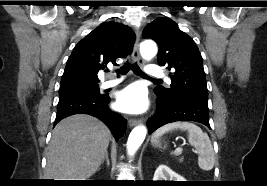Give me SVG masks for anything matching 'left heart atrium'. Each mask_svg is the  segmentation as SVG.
<instances>
[{
    "instance_id": "39dd6f15",
    "label": "left heart atrium",
    "mask_w": 267,
    "mask_h": 186,
    "mask_svg": "<svg viewBox=\"0 0 267 186\" xmlns=\"http://www.w3.org/2000/svg\"><path fill=\"white\" fill-rule=\"evenodd\" d=\"M116 105L120 111L128 114L143 113L149 105L147 91L140 84H131L118 92Z\"/></svg>"
}]
</instances>
